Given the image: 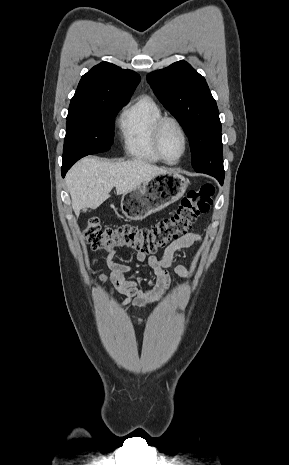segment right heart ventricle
Instances as JSON below:
<instances>
[{
    "label": "right heart ventricle",
    "mask_w": 289,
    "mask_h": 465,
    "mask_svg": "<svg viewBox=\"0 0 289 465\" xmlns=\"http://www.w3.org/2000/svg\"><path fill=\"white\" fill-rule=\"evenodd\" d=\"M162 115L159 105L147 95L140 96L124 109L119 129L124 148L131 157L150 163L161 161L153 146V129Z\"/></svg>",
    "instance_id": "obj_1"
}]
</instances>
